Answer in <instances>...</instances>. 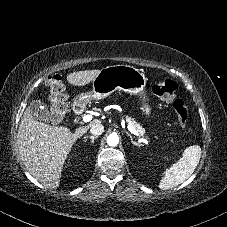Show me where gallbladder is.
Listing matches in <instances>:
<instances>
[{
    "mask_svg": "<svg viewBox=\"0 0 227 227\" xmlns=\"http://www.w3.org/2000/svg\"><path fill=\"white\" fill-rule=\"evenodd\" d=\"M30 112L35 120L47 121L49 112L47 106L40 100H32L29 105Z\"/></svg>",
    "mask_w": 227,
    "mask_h": 227,
    "instance_id": "obj_1",
    "label": "gallbladder"
}]
</instances>
